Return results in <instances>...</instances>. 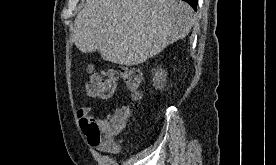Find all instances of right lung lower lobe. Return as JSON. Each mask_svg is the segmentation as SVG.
<instances>
[{
    "instance_id": "obj_1",
    "label": "right lung lower lobe",
    "mask_w": 276,
    "mask_h": 165,
    "mask_svg": "<svg viewBox=\"0 0 276 165\" xmlns=\"http://www.w3.org/2000/svg\"><path fill=\"white\" fill-rule=\"evenodd\" d=\"M185 2H187L188 4H190L194 10H196L197 4H198V0H183Z\"/></svg>"
}]
</instances>
